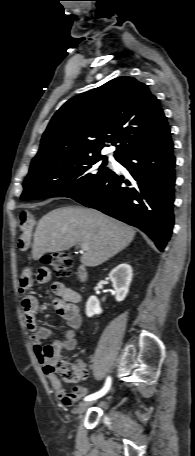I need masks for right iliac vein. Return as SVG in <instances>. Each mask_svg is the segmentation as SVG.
<instances>
[{
  "mask_svg": "<svg viewBox=\"0 0 195 456\" xmlns=\"http://www.w3.org/2000/svg\"><path fill=\"white\" fill-rule=\"evenodd\" d=\"M92 404H93V402H82V403H80L78 408H77V413H79V414L83 413Z\"/></svg>",
  "mask_w": 195,
  "mask_h": 456,
  "instance_id": "63e3f726",
  "label": "right iliac vein"
}]
</instances>
